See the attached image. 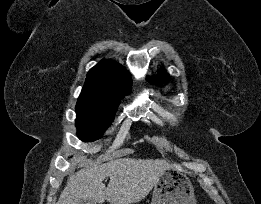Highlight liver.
Returning <instances> with one entry per match:
<instances>
[{
  "label": "liver",
  "instance_id": "liver-1",
  "mask_svg": "<svg viewBox=\"0 0 261 204\" xmlns=\"http://www.w3.org/2000/svg\"><path fill=\"white\" fill-rule=\"evenodd\" d=\"M171 166L160 159L119 158L89 165L68 177L57 204H79L93 199L102 204H131L144 199ZM110 177L107 187L103 184Z\"/></svg>",
  "mask_w": 261,
  "mask_h": 204
}]
</instances>
